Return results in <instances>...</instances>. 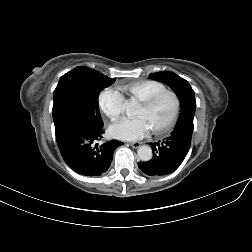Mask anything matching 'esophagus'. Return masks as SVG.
<instances>
[{
    "label": "esophagus",
    "mask_w": 252,
    "mask_h": 252,
    "mask_svg": "<svg viewBox=\"0 0 252 252\" xmlns=\"http://www.w3.org/2000/svg\"><path fill=\"white\" fill-rule=\"evenodd\" d=\"M129 145H130L131 147H133V148H138V147H140L141 143H140V142H132V143H130Z\"/></svg>",
    "instance_id": "esophagus-1"
}]
</instances>
